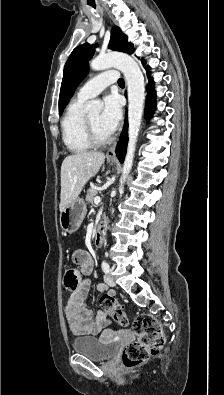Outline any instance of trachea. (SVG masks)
<instances>
[{
  "label": "trachea",
  "instance_id": "obj_1",
  "mask_svg": "<svg viewBox=\"0 0 224 395\" xmlns=\"http://www.w3.org/2000/svg\"><path fill=\"white\" fill-rule=\"evenodd\" d=\"M118 85H119V86H124V85H125V82H124V79H123V78H120V79L118 80Z\"/></svg>",
  "mask_w": 224,
  "mask_h": 395
}]
</instances>
